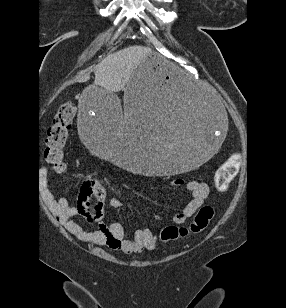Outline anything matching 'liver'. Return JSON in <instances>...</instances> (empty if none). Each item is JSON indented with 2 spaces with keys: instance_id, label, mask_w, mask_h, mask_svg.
<instances>
[{
  "instance_id": "1",
  "label": "liver",
  "mask_w": 286,
  "mask_h": 308,
  "mask_svg": "<svg viewBox=\"0 0 286 308\" xmlns=\"http://www.w3.org/2000/svg\"><path fill=\"white\" fill-rule=\"evenodd\" d=\"M151 53L148 47L134 45L108 55L95 67L94 84L111 93L123 90L137 65Z\"/></svg>"
}]
</instances>
